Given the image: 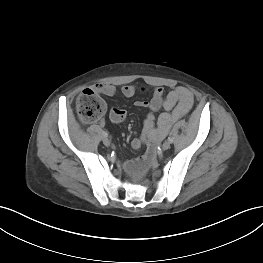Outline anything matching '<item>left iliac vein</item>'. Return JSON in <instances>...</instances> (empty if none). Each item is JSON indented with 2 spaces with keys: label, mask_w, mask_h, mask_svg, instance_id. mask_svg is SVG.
Returning a JSON list of instances; mask_svg holds the SVG:
<instances>
[{
  "label": "left iliac vein",
  "mask_w": 263,
  "mask_h": 263,
  "mask_svg": "<svg viewBox=\"0 0 263 263\" xmlns=\"http://www.w3.org/2000/svg\"><path fill=\"white\" fill-rule=\"evenodd\" d=\"M170 148V142L169 141H165L162 145V149L163 150H168Z\"/></svg>",
  "instance_id": "4c4485c4"
}]
</instances>
